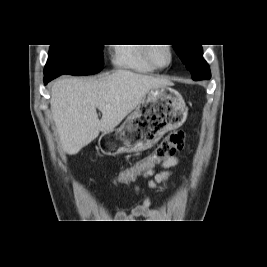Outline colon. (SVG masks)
<instances>
[{
  "mask_svg": "<svg viewBox=\"0 0 267 267\" xmlns=\"http://www.w3.org/2000/svg\"><path fill=\"white\" fill-rule=\"evenodd\" d=\"M185 146V131L175 130L169 133L156 148L144 159L134 164L128 169H121L116 175H111L116 185H127V182H133V178H138V174L151 169L159 161L167 156L181 151Z\"/></svg>",
  "mask_w": 267,
  "mask_h": 267,
  "instance_id": "colon-1",
  "label": "colon"
}]
</instances>
